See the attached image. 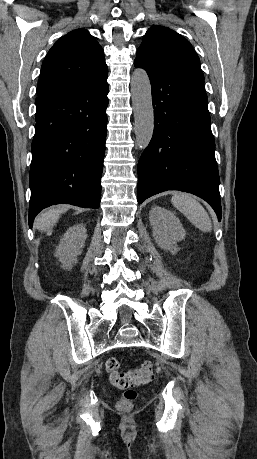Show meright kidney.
<instances>
[{"label": "right kidney", "mask_w": 257, "mask_h": 459, "mask_svg": "<svg viewBox=\"0 0 257 459\" xmlns=\"http://www.w3.org/2000/svg\"><path fill=\"white\" fill-rule=\"evenodd\" d=\"M87 238L83 224H76L68 228L56 247L55 256L59 258L64 269H70L77 262Z\"/></svg>", "instance_id": "right-kidney-1"}]
</instances>
